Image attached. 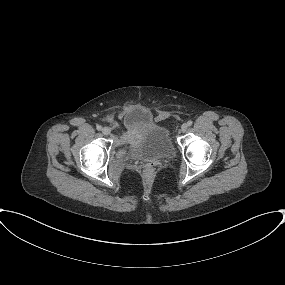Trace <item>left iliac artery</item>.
<instances>
[{
	"label": "left iliac artery",
	"mask_w": 285,
	"mask_h": 285,
	"mask_svg": "<svg viewBox=\"0 0 285 285\" xmlns=\"http://www.w3.org/2000/svg\"><path fill=\"white\" fill-rule=\"evenodd\" d=\"M192 124H193V122L191 120L187 122L188 126H191Z\"/></svg>",
	"instance_id": "left-iliac-artery-1"
}]
</instances>
